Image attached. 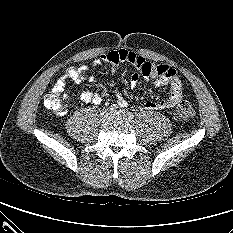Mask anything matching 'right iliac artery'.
Returning <instances> with one entry per match:
<instances>
[{
  "label": "right iliac artery",
  "instance_id": "1",
  "mask_svg": "<svg viewBox=\"0 0 233 233\" xmlns=\"http://www.w3.org/2000/svg\"><path fill=\"white\" fill-rule=\"evenodd\" d=\"M110 110H111L112 112H115V111L118 110V106H117L116 104H113V105L110 106Z\"/></svg>",
  "mask_w": 233,
  "mask_h": 233
}]
</instances>
